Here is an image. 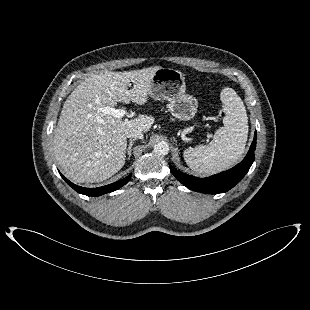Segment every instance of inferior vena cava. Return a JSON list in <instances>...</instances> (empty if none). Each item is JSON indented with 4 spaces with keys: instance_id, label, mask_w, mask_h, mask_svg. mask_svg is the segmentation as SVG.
Masks as SVG:
<instances>
[{
    "instance_id": "obj_1",
    "label": "inferior vena cava",
    "mask_w": 310,
    "mask_h": 310,
    "mask_svg": "<svg viewBox=\"0 0 310 310\" xmlns=\"http://www.w3.org/2000/svg\"><path fill=\"white\" fill-rule=\"evenodd\" d=\"M127 137L134 138V139H137V138L143 139V133L141 130L134 129L128 132Z\"/></svg>"
}]
</instances>
